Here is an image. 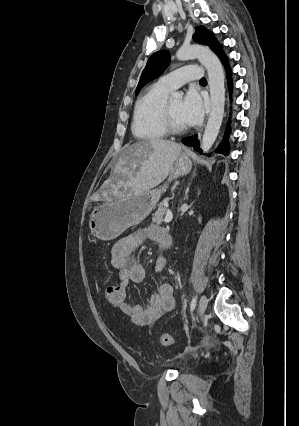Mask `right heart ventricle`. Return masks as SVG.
Here are the masks:
<instances>
[{
  "label": "right heart ventricle",
  "mask_w": 299,
  "mask_h": 426,
  "mask_svg": "<svg viewBox=\"0 0 299 426\" xmlns=\"http://www.w3.org/2000/svg\"><path fill=\"white\" fill-rule=\"evenodd\" d=\"M169 92V89L156 82L137 100L132 122V132L136 138L155 141L167 135L163 125V108Z\"/></svg>",
  "instance_id": "1"
}]
</instances>
